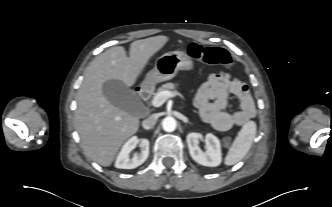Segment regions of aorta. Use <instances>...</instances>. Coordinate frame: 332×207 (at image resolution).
Returning a JSON list of instances; mask_svg holds the SVG:
<instances>
[{"label": "aorta", "instance_id": "aorta-1", "mask_svg": "<svg viewBox=\"0 0 332 207\" xmlns=\"http://www.w3.org/2000/svg\"><path fill=\"white\" fill-rule=\"evenodd\" d=\"M177 127V122L175 118L167 116L162 121V128L166 132H173Z\"/></svg>", "mask_w": 332, "mask_h": 207}]
</instances>
